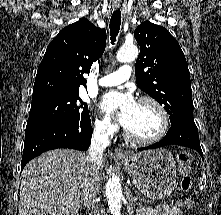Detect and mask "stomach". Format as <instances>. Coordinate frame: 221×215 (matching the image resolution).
I'll use <instances>...</instances> for the list:
<instances>
[{
	"label": "stomach",
	"mask_w": 221,
	"mask_h": 215,
	"mask_svg": "<svg viewBox=\"0 0 221 215\" xmlns=\"http://www.w3.org/2000/svg\"><path fill=\"white\" fill-rule=\"evenodd\" d=\"M119 162L135 187L151 199H163L177 187L176 163L166 149L129 153Z\"/></svg>",
	"instance_id": "1"
}]
</instances>
